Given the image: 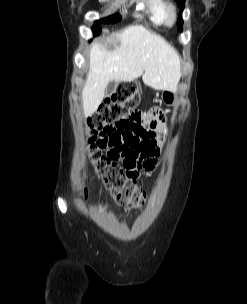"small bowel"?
I'll return each mask as SVG.
<instances>
[{"instance_id":"obj_1","label":"small bowel","mask_w":247,"mask_h":304,"mask_svg":"<svg viewBox=\"0 0 247 304\" xmlns=\"http://www.w3.org/2000/svg\"><path fill=\"white\" fill-rule=\"evenodd\" d=\"M126 119H159L114 122V129L101 136L103 143L106 142L108 161L124 167L136 180L141 170L151 171L155 167L162 145L157 132H166L167 126L160 108H151L150 112H126Z\"/></svg>"}]
</instances>
